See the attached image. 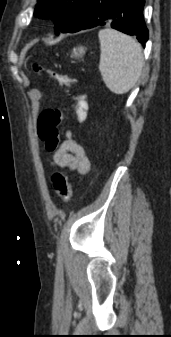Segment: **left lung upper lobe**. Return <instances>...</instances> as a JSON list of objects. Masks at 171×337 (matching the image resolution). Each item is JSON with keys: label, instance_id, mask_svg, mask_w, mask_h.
<instances>
[{"label": "left lung upper lobe", "instance_id": "obj_1", "mask_svg": "<svg viewBox=\"0 0 171 337\" xmlns=\"http://www.w3.org/2000/svg\"><path fill=\"white\" fill-rule=\"evenodd\" d=\"M85 0H38L34 15L38 18L52 17L55 29L66 33L76 23Z\"/></svg>", "mask_w": 171, "mask_h": 337}]
</instances>
